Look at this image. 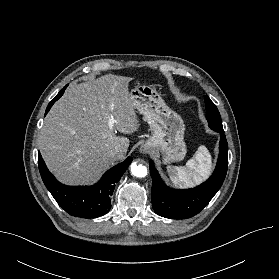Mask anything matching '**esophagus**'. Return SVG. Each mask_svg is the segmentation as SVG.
<instances>
[{"mask_svg": "<svg viewBox=\"0 0 279 279\" xmlns=\"http://www.w3.org/2000/svg\"><path fill=\"white\" fill-rule=\"evenodd\" d=\"M141 152L142 153H148V148L146 146H142Z\"/></svg>", "mask_w": 279, "mask_h": 279, "instance_id": "1", "label": "esophagus"}]
</instances>
